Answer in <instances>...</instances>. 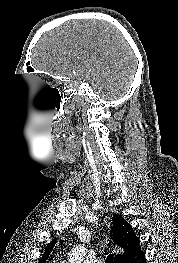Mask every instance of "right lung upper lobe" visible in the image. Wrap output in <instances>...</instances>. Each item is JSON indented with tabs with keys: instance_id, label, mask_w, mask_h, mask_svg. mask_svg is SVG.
Returning <instances> with one entry per match:
<instances>
[{
	"instance_id": "cb5924a9",
	"label": "right lung upper lobe",
	"mask_w": 178,
	"mask_h": 263,
	"mask_svg": "<svg viewBox=\"0 0 178 263\" xmlns=\"http://www.w3.org/2000/svg\"><path fill=\"white\" fill-rule=\"evenodd\" d=\"M112 221L113 225L110 231L111 238L113 242L122 250L121 253L115 255L114 262L128 263L129 260L141 251L140 241L135 236L131 225L121 215H113ZM55 244L56 239H53L49 244H47L40 263H45Z\"/></svg>"
}]
</instances>
